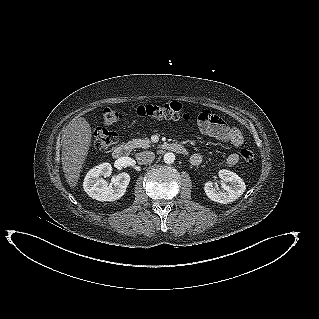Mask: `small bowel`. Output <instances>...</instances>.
I'll return each mask as SVG.
<instances>
[{
	"label": "small bowel",
	"mask_w": 319,
	"mask_h": 319,
	"mask_svg": "<svg viewBox=\"0 0 319 319\" xmlns=\"http://www.w3.org/2000/svg\"><path fill=\"white\" fill-rule=\"evenodd\" d=\"M199 127L204 134L219 141L229 143L235 148L242 146L244 143L243 134L238 128L229 126L221 118L208 111H206L204 117L199 118ZM203 159L202 154L195 153L191 155L190 162L192 165L198 166L202 163ZM238 161L239 155L235 152L229 154L225 159V163L230 166L237 164Z\"/></svg>",
	"instance_id": "obj_1"
}]
</instances>
